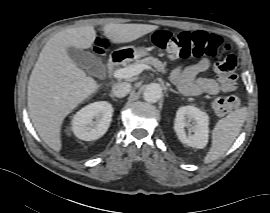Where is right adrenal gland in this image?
I'll use <instances>...</instances> for the list:
<instances>
[{
	"mask_svg": "<svg viewBox=\"0 0 270 213\" xmlns=\"http://www.w3.org/2000/svg\"><path fill=\"white\" fill-rule=\"evenodd\" d=\"M109 96L112 98V100L117 101L113 94L110 93Z\"/></svg>",
	"mask_w": 270,
	"mask_h": 213,
	"instance_id": "1",
	"label": "right adrenal gland"
}]
</instances>
